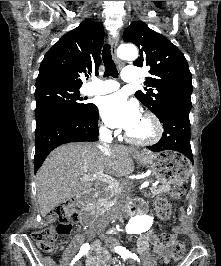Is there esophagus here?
Returning a JSON list of instances; mask_svg holds the SVG:
<instances>
[{
	"mask_svg": "<svg viewBox=\"0 0 221 266\" xmlns=\"http://www.w3.org/2000/svg\"><path fill=\"white\" fill-rule=\"evenodd\" d=\"M118 36H112L110 37V45H111V53L112 56L115 60V62L117 63L118 67L121 68L123 66L122 62L119 60L118 56H117V46H118ZM140 153V152H137Z\"/></svg>",
	"mask_w": 221,
	"mask_h": 266,
	"instance_id": "obj_1",
	"label": "esophagus"
}]
</instances>
